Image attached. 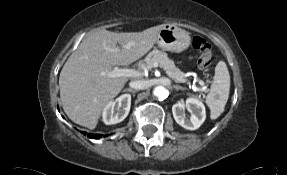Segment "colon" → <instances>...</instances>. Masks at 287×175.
I'll use <instances>...</instances> for the list:
<instances>
[{
	"instance_id": "colon-1",
	"label": "colon",
	"mask_w": 287,
	"mask_h": 175,
	"mask_svg": "<svg viewBox=\"0 0 287 175\" xmlns=\"http://www.w3.org/2000/svg\"><path fill=\"white\" fill-rule=\"evenodd\" d=\"M192 47L200 53L197 66L200 70H205L211 63L212 51L210 44L200 36H194L192 39Z\"/></svg>"
}]
</instances>
